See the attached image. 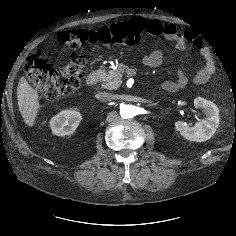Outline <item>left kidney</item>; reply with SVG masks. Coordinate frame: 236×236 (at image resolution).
I'll list each match as a JSON object with an SVG mask.
<instances>
[{
    "label": "left kidney",
    "instance_id": "5707ae66",
    "mask_svg": "<svg viewBox=\"0 0 236 236\" xmlns=\"http://www.w3.org/2000/svg\"><path fill=\"white\" fill-rule=\"evenodd\" d=\"M194 107L202 109L206 114V118L193 127L183 121H176L175 128L189 141L203 142L209 140L219 126V109L213 102L202 97L194 99Z\"/></svg>",
    "mask_w": 236,
    "mask_h": 236
}]
</instances>
